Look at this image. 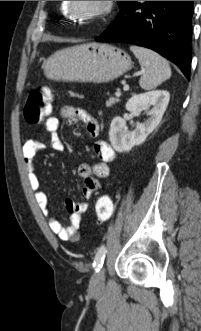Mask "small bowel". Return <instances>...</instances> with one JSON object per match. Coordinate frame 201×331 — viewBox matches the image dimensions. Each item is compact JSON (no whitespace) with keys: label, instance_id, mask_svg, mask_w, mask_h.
<instances>
[{"label":"small bowel","instance_id":"1","mask_svg":"<svg viewBox=\"0 0 201 331\" xmlns=\"http://www.w3.org/2000/svg\"><path fill=\"white\" fill-rule=\"evenodd\" d=\"M63 119L67 124L81 122L85 125L90 137L95 138L99 134L98 121L86 111L69 105L60 109L59 117L49 116L45 123V132L49 137V146L57 151L64 150V142L58 134L60 120ZM47 145L36 139L27 140L22 148L24 165L28 177V182L34 192L36 203L47 219L51 231L65 241H76L79 239V228L83 213L88 205L85 202H77L73 199H66L65 208L69 215V222L66 226L54 217L49 210L48 199L41 189L40 180L35 172L34 161L38 152L46 149ZM95 155L100 162L97 164H81L78 168V175L83 181L82 195L89 199L95 191L99 189L98 179H106L111 174L110 163L115 158V152L111 145L103 140L96 141L94 144Z\"/></svg>","mask_w":201,"mask_h":331}]
</instances>
